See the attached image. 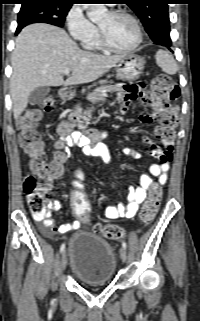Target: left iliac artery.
<instances>
[{"label": "left iliac artery", "instance_id": "left-iliac-artery-1", "mask_svg": "<svg viewBox=\"0 0 200 321\" xmlns=\"http://www.w3.org/2000/svg\"><path fill=\"white\" fill-rule=\"evenodd\" d=\"M122 247H124L126 249V247H127L126 242H122Z\"/></svg>", "mask_w": 200, "mask_h": 321}]
</instances>
